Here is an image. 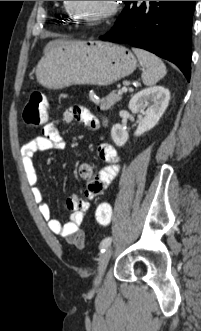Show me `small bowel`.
<instances>
[{
  "mask_svg": "<svg viewBox=\"0 0 201 331\" xmlns=\"http://www.w3.org/2000/svg\"><path fill=\"white\" fill-rule=\"evenodd\" d=\"M77 121L91 131L100 128L99 119L87 108L79 105L68 107L61 119L50 120L43 129L41 136H37L26 142L21 147V159L27 182L38 209L47 222L49 229L54 234L64 238L69 244L75 245L79 239H84L80 229L86 212L89 210L88 200L101 195L107 185L116 177L119 172V157L115 148L108 143H101L98 146L97 154L103 162L102 167L95 173L92 166L83 163L79 166V175L86 180L87 185L82 199L78 196H71L66 199V208L69 211L68 222L62 224L52 217L49 205L45 202L44 193L38 187V174L34 165V156L37 153L50 150H62L65 148V141L58 128L61 123Z\"/></svg>",
  "mask_w": 201,
  "mask_h": 331,
  "instance_id": "1",
  "label": "small bowel"
}]
</instances>
